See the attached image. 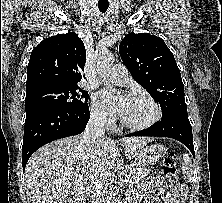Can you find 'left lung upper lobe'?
<instances>
[{"label":"left lung upper lobe","mask_w":222,"mask_h":203,"mask_svg":"<svg viewBox=\"0 0 222 203\" xmlns=\"http://www.w3.org/2000/svg\"><path fill=\"white\" fill-rule=\"evenodd\" d=\"M119 53L134 79L159 102L162 117L187 113L180 70L162 38L129 33L121 41Z\"/></svg>","instance_id":"5c2ea615"}]
</instances>
